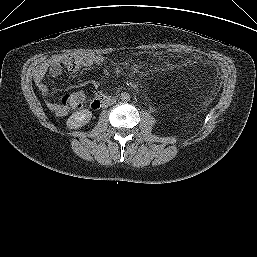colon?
I'll list each match as a JSON object with an SVG mask.
<instances>
[{
  "label": "colon",
  "mask_w": 257,
  "mask_h": 257,
  "mask_svg": "<svg viewBox=\"0 0 257 257\" xmlns=\"http://www.w3.org/2000/svg\"><path fill=\"white\" fill-rule=\"evenodd\" d=\"M170 51L172 53H180V50L171 48ZM84 102V95L80 92L69 93L65 95L62 99V103L64 106L71 110H78L82 107Z\"/></svg>",
  "instance_id": "colon-1"
}]
</instances>
